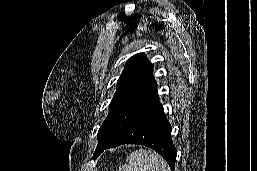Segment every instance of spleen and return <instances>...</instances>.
Instances as JSON below:
<instances>
[{
	"label": "spleen",
	"mask_w": 257,
	"mask_h": 171,
	"mask_svg": "<svg viewBox=\"0 0 257 171\" xmlns=\"http://www.w3.org/2000/svg\"><path fill=\"white\" fill-rule=\"evenodd\" d=\"M126 161L118 171H171L164 159L151 150H136L127 156Z\"/></svg>",
	"instance_id": "1"
}]
</instances>
